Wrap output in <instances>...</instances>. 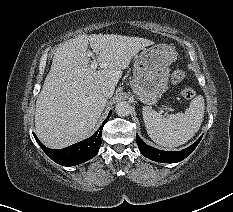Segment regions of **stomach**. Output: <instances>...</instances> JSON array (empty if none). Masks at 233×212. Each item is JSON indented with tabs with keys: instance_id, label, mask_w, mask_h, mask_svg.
I'll use <instances>...</instances> for the list:
<instances>
[{
	"instance_id": "1",
	"label": "stomach",
	"mask_w": 233,
	"mask_h": 212,
	"mask_svg": "<svg viewBox=\"0 0 233 212\" xmlns=\"http://www.w3.org/2000/svg\"><path fill=\"white\" fill-rule=\"evenodd\" d=\"M176 51L168 44L143 48L135 56L132 90L138 99L147 105L155 104L167 88L169 66L175 60Z\"/></svg>"
}]
</instances>
